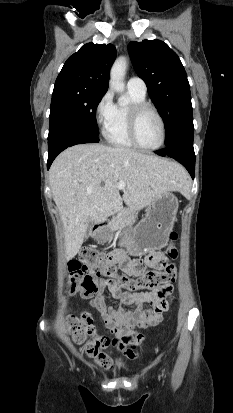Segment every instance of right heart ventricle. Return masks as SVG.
<instances>
[{
    "instance_id": "right-heart-ventricle-1",
    "label": "right heart ventricle",
    "mask_w": 233,
    "mask_h": 413,
    "mask_svg": "<svg viewBox=\"0 0 233 413\" xmlns=\"http://www.w3.org/2000/svg\"><path fill=\"white\" fill-rule=\"evenodd\" d=\"M129 102L115 105L111 121L104 130L107 141L116 147L134 148L135 145L130 140L128 134V116L132 105L145 102V95L128 91Z\"/></svg>"
}]
</instances>
